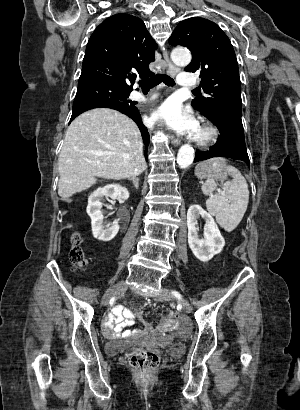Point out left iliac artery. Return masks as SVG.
<instances>
[{
    "instance_id": "1",
    "label": "left iliac artery",
    "mask_w": 300,
    "mask_h": 410,
    "mask_svg": "<svg viewBox=\"0 0 300 410\" xmlns=\"http://www.w3.org/2000/svg\"><path fill=\"white\" fill-rule=\"evenodd\" d=\"M172 294L177 298L181 297V295L177 291H172Z\"/></svg>"
}]
</instances>
